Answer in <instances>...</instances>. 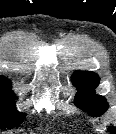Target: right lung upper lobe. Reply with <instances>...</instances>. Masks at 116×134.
<instances>
[{"label": "right lung upper lobe", "instance_id": "cb5924a9", "mask_svg": "<svg viewBox=\"0 0 116 134\" xmlns=\"http://www.w3.org/2000/svg\"><path fill=\"white\" fill-rule=\"evenodd\" d=\"M11 82L7 78L0 76V94L14 95L10 89Z\"/></svg>", "mask_w": 116, "mask_h": 134}]
</instances>
